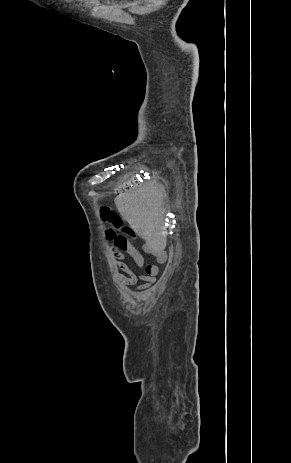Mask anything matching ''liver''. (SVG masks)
I'll return each instance as SVG.
<instances>
[{"instance_id": "1", "label": "liver", "mask_w": 291, "mask_h": 463, "mask_svg": "<svg viewBox=\"0 0 291 463\" xmlns=\"http://www.w3.org/2000/svg\"><path fill=\"white\" fill-rule=\"evenodd\" d=\"M116 207L132 229L141 236L145 249L161 254L167 243L166 230L160 214L161 194L153 185L133 188L115 198Z\"/></svg>"}]
</instances>
